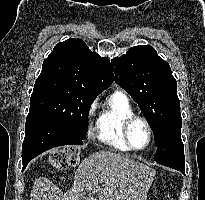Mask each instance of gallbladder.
Returning a JSON list of instances; mask_svg holds the SVG:
<instances>
[{"mask_svg": "<svg viewBox=\"0 0 205 200\" xmlns=\"http://www.w3.org/2000/svg\"><path fill=\"white\" fill-rule=\"evenodd\" d=\"M79 200H89L88 197H82Z\"/></svg>", "mask_w": 205, "mask_h": 200, "instance_id": "1", "label": "gallbladder"}]
</instances>
